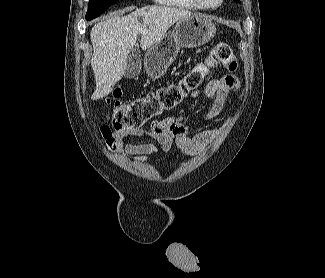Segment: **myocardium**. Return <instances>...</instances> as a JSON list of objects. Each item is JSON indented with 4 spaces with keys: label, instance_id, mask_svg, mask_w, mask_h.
<instances>
[{
    "label": "myocardium",
    "instance_id": "obj_1",
    "mask_svg": "<svg viewBox=\"0 0 325 278\" xmlns=\"http://www.w3.org/2000/svg\"><path fill=\"white\" fill-rule=\"evenodd\" d=\"M196 1L204 9H216L220 7L223 3V0H219L215 5H208L204 0H196Z\"/></svg>",
    "mask_w": 325,
    "mask_h": 278
}]
</instances>
